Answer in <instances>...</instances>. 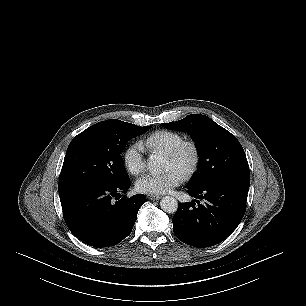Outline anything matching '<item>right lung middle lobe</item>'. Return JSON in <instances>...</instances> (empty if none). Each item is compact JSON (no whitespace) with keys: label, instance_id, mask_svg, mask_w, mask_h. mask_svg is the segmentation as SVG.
Wrapping results in <instances>:
<instances>
[{"label":"right lung middle lobe","instance_id":"right-lung-middle-lobe-1","mask_svg":"<svg viewBox=\"0 0 306 306\" xmlns=\"http://www.w3.org/2000/svg\"><path fill=\"white\" fill-rule=\"evenodd\" d=\"M151 127L109 119L75 136L64 159L58 184L59 195L88 184L118 185L128 181L122 150L130 139Z\"/></svg>","mask_w":306,"mask_h":306}]
</instances>
